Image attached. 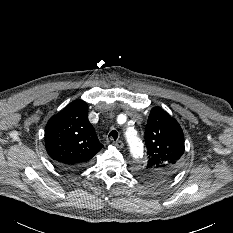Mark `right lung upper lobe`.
Segmentation results:
<instances>
[{
  "mask_svg": "<svg viewBox=\"0 0 233 233\" xmlns=\"http://www.w3.org/2000/svg\"><path fill=\"white\" fill-rule=\"evenodd\" d=\"M48 155L62 168L85 167L103 145L88 120V106L76 100L50 118L45 130Z\"/></svg>",
  "mask_w": 233,
  "mask_h": 233,
  "instance_id": "1",
  "label": "right lung upper lobe"
}]
</instances>
